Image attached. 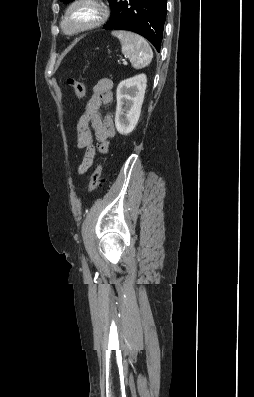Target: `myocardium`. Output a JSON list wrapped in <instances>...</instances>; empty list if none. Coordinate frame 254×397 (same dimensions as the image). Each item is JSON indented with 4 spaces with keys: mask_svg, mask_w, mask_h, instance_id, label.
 Masks as SVG:
<instances>
[{
    "mask_svg": "<svg viewBox=\"0 0 254 397\" xmlns=\"http://www.w3.org/2000/svg\"><path fill=\"white\" fill-rule=\"evenodd\" d=\"M83 6H89L96 10V15L91 19L83 23L69 25L74 12ZM109 18V9L104 2L101 0H74L66 8L63 13L59 26L61 32L67 36H74L103 25Z\"/></svg>",
    "mask_w": 254,
    "mask_h": 397,
    "instance_id": "obj_1",
    "label": "myocardium"
}]
</instances>
